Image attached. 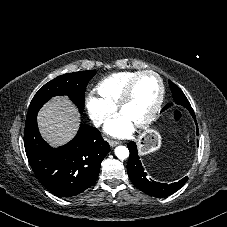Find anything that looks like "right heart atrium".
Returning <instances> with one entry per match:
<instances>
[{
  "label": "right heart atrium",
  "instance_id": "right-heart-atrium-1",
  "mask_svg": "<svg viewBox=\"0 0 227 227\" xmlns=\"http://www.w3.org/2000/svg\"><path fill=\"white\" fill-rule=\"evenodd\" d=\"M85 107L90 119L96 126L102 125L114 113L113 106L108 105L94 95H89L86 98Z\"/></svg>",
  "mask_w": 227,
  "mask_h": 227
}]
</instances>
